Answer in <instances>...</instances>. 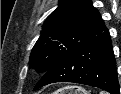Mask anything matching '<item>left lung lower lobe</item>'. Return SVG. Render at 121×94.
Listing matches in <instances>:
<instances>
[{
	"label": "left lung lower lobe",
	"mask_w": 121,
	"mask_h": 94,
	"mask_svg": "<svg viewBox=\"0 0 121 94\" xmlns=\"http://www.w3.org/2000/svg\"><path fill=\"white\" fill-rule=\"evenodd\" d=\"M55 82L80 83L120 94L109 31L106 29L65 56L44 74L34 90Z\"/></svg>",
	"instance_id": "left-lung-lower-lobe-1"
}]
</instances>
